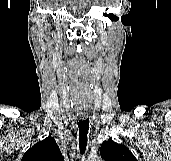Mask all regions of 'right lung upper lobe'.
<instances>
[{
    "label": "right lung upper lobe",
    "mask_w": 171,
    "mask_h": 161,
    "mask_svg": "<svg viewBox=\"0 0 171 161\" xmlns=\"http://www.w3.org/2000/svg\"><path fill=\"white\" fill-rule=\"evenodd\" d=\"M21 161H64L53 137L49 136L26 151Z\"/></svg>",
    "instance_id": "cb5924a9"
}]
</instances>
